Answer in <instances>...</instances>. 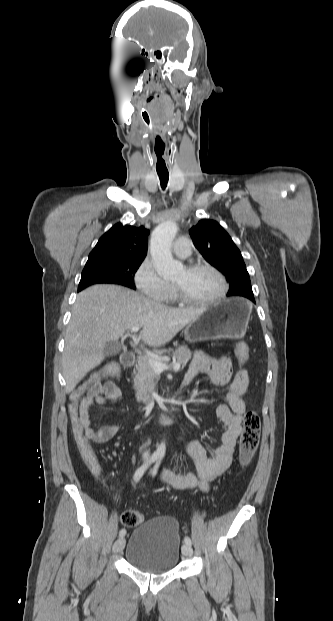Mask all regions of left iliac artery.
<instances>
[{
	"mask_svg": "<svg viewBox=\"0 0 333 621\" xmlns=\"http://www.w3.org/2000/svg\"><path fill=\"white\" fill-rule=\"evenodd\" d=\"M162 458H163L162 456H160V457L158 458V460H157L156 464L154 465V467H153V469H152V476H153V477H155V476H156V474H157V472H158V469H159L160 463H161V461H162ZM184 542H185V544L190 545V546H191V544H192L191 539H190L188 536H186V537L184 538Z\"/></svg>",
	"mask_w": 333,
	"mask_h": 621,
	"instance_id": "left-iliac-artery-1",
	"label": "left iliac artery"
}]
</instances>
